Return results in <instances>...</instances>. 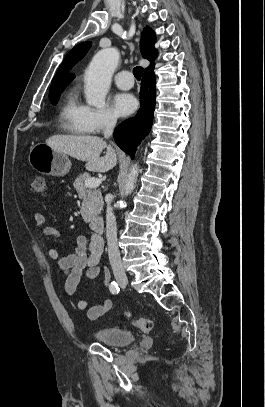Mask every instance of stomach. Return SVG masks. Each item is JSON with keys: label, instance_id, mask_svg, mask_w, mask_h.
<instances>
[{"label": "stomach", "instance_id": "stomach-1", "mask_svg": "<svg viewBox=\"0 0 265 407\" xmlns=\"http://www.w3.org/2000/svg\"><path fill=\"white\" fill-rule=\"evenodd\" d=\"M29 163L39 173L51 176H65L71 166L68 156L46 143H38L29 153Z\"/></svg>", "mask_w": 265, "mask_h": 407}]
</instances>
